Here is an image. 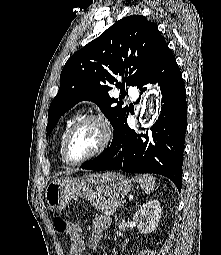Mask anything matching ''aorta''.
Returning <instances> with one entry per match:
<instances>
[{
    "mask_svg": "<svg viewBox=\"0 0 221 255\" xmlns=\"http://www.w3.org/2000/svg\"><path fill=\"white\" fill-rule=\"evenodd\" d=\"M160 105V97L158 93L150 91L145 97L142 105L141 123L146 126V123H152L157 115ZM146 121V122H145Z\"/></svg>",
    "mask_w": 221,
    "mask_h": 255,
    "instance_id": "obj_1",
    "label": "aorta"
}]
</instances>
